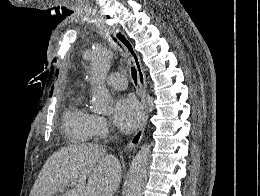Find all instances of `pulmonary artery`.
<instances>
[{
	"mask_svg": "<svg viewBox=\"0 0 260 196\" xmlns=\"http://www.w3.org/2000/svg\"><path fill=\"white\" fill-rule=\"evenodd\" d=\"M112 79H101V84H124L126 77L124 72H113ZM127 85H103V90H127Z\"/></svg>",
	"mask_w": 260,
	"mask_h": 196,
	"instance_id": "obj_1",
	"label": "pulmonary artery"
}]
</instances>
